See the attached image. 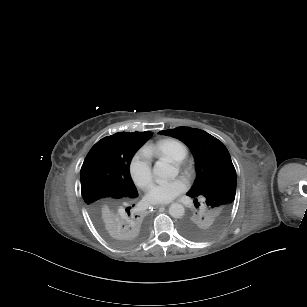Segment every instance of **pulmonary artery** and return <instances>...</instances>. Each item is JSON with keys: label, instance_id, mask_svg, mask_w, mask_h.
Masks as SVG:
<instances>
[{"label": "pulmonary artery", "instance_id": "1", "mask_svg": "<svg viewBox=\"0 0 307 307\" xmlns=\"http://www.w3.org/2000/svg\"><path fill=\"white\" fill-rule=\"evenodd\" d=\"M161 148H162L161 145L156 146V147H155V152H156V153H159V151L161 150Z\"/></svg>", "mask_w": 307, "mask_h": 307}]
</instances>
